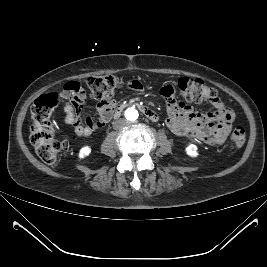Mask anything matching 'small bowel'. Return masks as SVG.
Listing matches in <instances>:
<instances>
[{
    "label": "small bowel",
    "mask_w": 267,
    "mask_h": 267,
    "mask_svg": "<svg viewBox=\"0 0 267 267\" xmlns=\"http://www.w3.org/2000/svg\"><path fill=\"white\" fill-rule=\"evenodd\" d=\"M127 86L134 91L143 89L137 80L129 81ZM160 94L167 106L166 125L176 136L197 139L211 146L225 142L232 129L234 114L221 100L217 98L212 102L214 111L200 113L175 98V87L171 83L163 85ZM58 99L62 103L65 123L74 126L78 137H88L95 129L110 121L115 105L114 102L100 103L97 107L98 121L86 117V124L82 125V108L87 102V96L81 83L67 82L58 94Z\"/></svg>",
    "instance_id": "1"
}]
</instances>
